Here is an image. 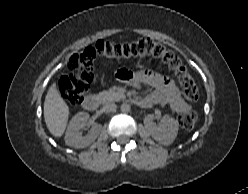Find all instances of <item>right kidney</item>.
<instances>
[{"mask_svg": "<svg viewBox=\"0 0 248 194\" xmlns=\"http://www.w3.org/2000/svg\"><path fill=\"white\" fill-rule=\"evenodd\" d=\"M88 119L89 114L86 112H79L72 118L65 134L66 145L79 149L87 147L95 141L101 132L102 126L94 124L89 134L82 136V129L85 127Z\"/></svg>", "mask_w": 248, "mask_h": 194, "instance_id": "ca27d5eb", "label": "right kidney"}]
</instances>
